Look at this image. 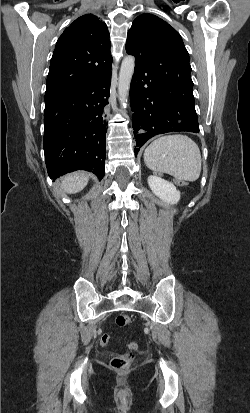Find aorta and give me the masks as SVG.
I'll use <instances>...</instances> for the list:
<instances>
[{
    "instance_id": "1",
    "label": "aorta",
    "mask_w": 250,
    "mask_h": 413,
    "mask_svg": "<svg viewBox=\"0 0 250 413\" xmlns=\"http://www.w3.org/2000/svg\"><path fill=\"white\" fill-rule=\"evenodd\" d=\"M134 68L135 58L131 55L126 56L121 64L118 81L119 101L123 107H126L127 105L129 88L134 73Z\"/></svg>"
}]
</instances>
